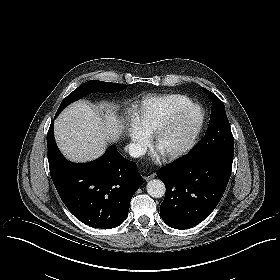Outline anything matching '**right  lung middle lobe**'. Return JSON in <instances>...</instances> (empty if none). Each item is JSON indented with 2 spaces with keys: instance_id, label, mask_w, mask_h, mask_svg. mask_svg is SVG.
I'll return each instance as SVG.
<instances>
[{
  "instance_id": "right-lung-middle-lobe-1",
  "label": "right lung middle lobe",
  "mask_w": 280,
  "mask_h": 280,
  "mask_svg": "<svg viewBox=\"0 0 280 280\" xmlns=\"http://www.w3.org/2000/svg\"><path fill=\"white\" fill-rule=\"evenodd\" d=\"M127 87L125 84L103 82L98 80H91L82 85H80L76 90L70 93L61 102L58 111L55 116H57L66 106L70 103L81 99L82 97L92 93V92H117L124 90Z\"/></svg>"
}]
</instances>
